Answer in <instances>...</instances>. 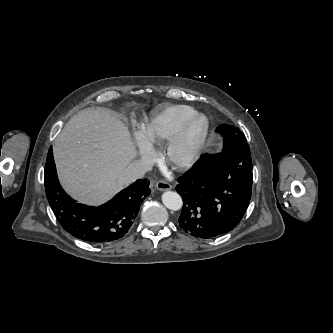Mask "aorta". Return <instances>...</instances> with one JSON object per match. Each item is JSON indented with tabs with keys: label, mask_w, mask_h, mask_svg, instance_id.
Returning <instances> with one entry per match:
<instances>
[{
	"label": "aorta",
	"mask_w": 333,
	"mask_h": 333,
	"mask_svg": "<svg viewBox=\"0 0 333 333\" xmlns=\"http://www.w3.org/2000/svg\"><path fill=\"white\" fill-rule=\"evenodd\" d=\"M163 204L170 210L177 211L181 209L183 202L181 196L173 191H166L162 195Z\"/></svg>",
	"instance_id": "aorta-1"
}]
</instances>
